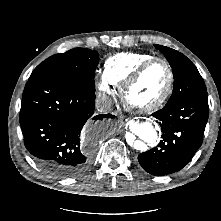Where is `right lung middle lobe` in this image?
Returning <instances> with one entry per match:
<instances>
[{
    "mask_svg": "<svg viewBox=\"0 0 221 221\" xmlns=\"http://www.w3.org/2000/svg\"><path fill=\"white\" fill-rule=\"evenodd\" d=\"M98 62L99 54L95 50L74 48L44 60L33 70L30 78L47 74L77 88L95 92L94 76Z\"/></svg>",
    "mask_w": 221,
    "mask_h": 221,
    "instance_id": "1",
    "label": "right lung middle lobe"
}]
</instances>
